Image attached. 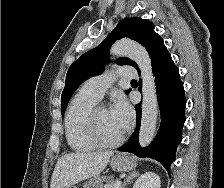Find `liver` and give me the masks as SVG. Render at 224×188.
Here are the masks:
<instances>
[{
	"instance_id": "1",
	"label": "liver",
	"mask_w": 224,
	"mask_h": 188,
	"mask_svg": "<svg viewBox=\"0 0 224 188\" xmlns=\"http://www.w3.org/2000/svg\"><path fill=\"white\" fill-rule=\"evenodd\" d=\"M112 151L75 152L63 155L55 165L50 188H68L98 175L107 166Z\"/></svg>"
}]
</instances>
